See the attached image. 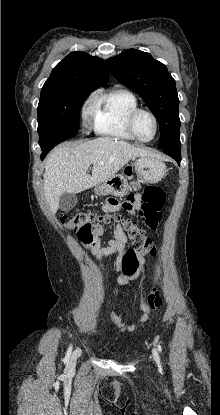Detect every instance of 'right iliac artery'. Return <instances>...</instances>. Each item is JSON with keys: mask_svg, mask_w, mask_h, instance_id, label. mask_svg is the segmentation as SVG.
<instances>
[{"mask_svg": "<svg viewBox=\"0 0 220 415\" xmlns=\"http://www.w3.org/2000/svg\"><path fill=\"white\" fill-rule=\"evenodd\" d=\"M71 352H72V345H70V346H69V348H68V350H67V354H66V357H65V361H66V362H68V361H69V358H70Z\"/></svg>", "mask_w": 220, "mask_h": 415, "instance_id": "right-iliac-artery-1", "label": "right iliac artery"}]
</instances>
